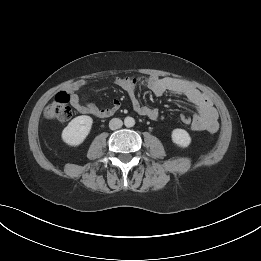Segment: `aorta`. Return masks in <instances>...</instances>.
<instances>
[{"label":"aorta","mask_w":261,"mask_h":261,"mask_svg":"<svg viewBox=\"0 0 261 261\" xmlns=\"http://www.w3.org/2000/svg\"><path fill=\"white\" fill-rule=\"evenodd\" d=\"M124 124L126 127H133L135 125V120L134 118L128 116L124 119Z\"/></svg>","instance_id":"1"}]
</instances>
